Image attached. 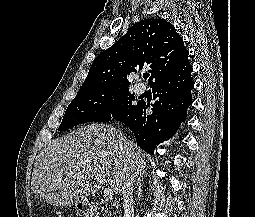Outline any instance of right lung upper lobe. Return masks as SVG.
<instances>
[{"label":"right lung upper lobe","instance_id":"1","mask_svg":"<svg viewBox=\"0 0 255 217\" xmlns=\"http://www.w3.org/2000/svg\"><path fill=\"white\" fill-rule=\"evenodd\" d=\"M188 55L172 24L163 19L142 20L95 58L78 93L129 87L126 76L143 67L150 68L151 84L183 63Z\"/></svg>","mask_w":255,"mask_h":217}]
</instances>
